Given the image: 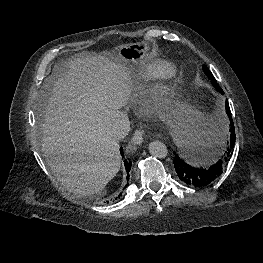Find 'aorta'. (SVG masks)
I'll return each mask as SVG.
<instances>
[{
  "label": "aorta",
  "instance_id": "1",
  "mask_svg": "<svg viewBox=\"0 0 263 263\" xmlns=\"http://www.w3.org/2000/svg\"><path fill=\"white\" fill-rule=\"evenodd\" d=\"M149 152L156 158H165L168 154V149L164 143L153 141L149 144Z\"/></svg>",
  "mask_w": 263,
  "mask_h": 263
}]
</instances>
